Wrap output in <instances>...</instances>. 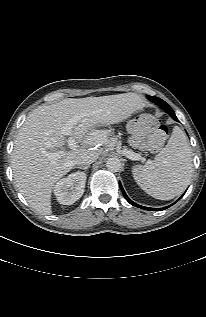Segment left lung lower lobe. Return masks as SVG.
Wrapping results in <instances>:
<instances>
[{"label":"left lung lower lobe","mask_w":206,"mask_h":317,"mask_svg":"<svg viewBox=\"0 0 206 317\" xmlns=\"http://www.w3.org/2000/svg\"><path fill=\"white\" fill-rule=\"evenodd\" d=\"M147 98L152 101V99H150L148 96H147ZM160 107H161V106H160ZM164 110H165V109H164ZM165 111H166L167 113H169L170 116H171L174 120L178 121V120H177V117L175 116L174 111H167V110H165ZM119 185H120V189H121V191H122L124 197L126 198V200H127L131 205L136 206V207H139V208H141V209H145V210H149V211H162V210L167 209V208H169L170 206L173 205V204H172V205L167 206V207H164V208H150V207H145V206L138 205V204H136L135 202H133L132 200L129 199V197L126 195L124 189L122 188L121 183H120Z\"/></svg>","instance_id":"obj_1"}]
</instances>
